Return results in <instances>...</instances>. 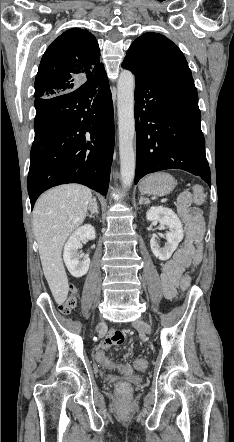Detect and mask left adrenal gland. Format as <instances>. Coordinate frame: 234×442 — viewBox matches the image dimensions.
Returning a JSON list of instances; mask_svg holds the SVG:
<instances>
[{
  "instance_id": "left-adrenal-gland-1",
  "label": "left adrenal gland",
  "mask_w": 234,
  "mask_h": 442,
  "mask_svg": "<svg viewBox=\"0 0 234 442\" xmlns=\"http://www.w3.org/2000/svg\"><path fill=\"white\" fill-rule=\"evenodd\" d=\"M150 203V200L148 198H144L143 196H140L139 204H148Z\"/></svg>"
}]
</instances>
